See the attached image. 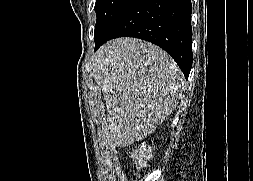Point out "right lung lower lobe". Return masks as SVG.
<instances>
[{"mask_svg":"<svg viewBox=\"0 0 253 181\" xmlns=\"http://www.w3.org/2000/svg\"><path fill=\"white\" fill-rule=\"evenodd\" d=\"M192 6L190 0H132L98 36L95 50L117 37H136L169 53L186 79L192 67Z\"/></svg>","mask_w":253,"mask_h":181,"instance_id":"obj_1","label":"right lung lower lobe"}]
</instances>
